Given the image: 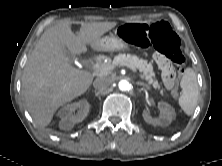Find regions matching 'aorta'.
Instances as JSON below:
<instances>
[{
    "instance_id": "1",
    "label": "aorta",
    "mask_w": 222,
    "mask_h": 166,
    "mask_svg": "<svg viewBox=\"0 0 222 166\" xmlns=\"http://www.w3.org/2000/svg\"><path fill=\"white\" fill-rule=\"evenodd\" d=\"M118 87L121 91H127L130 89L131 85L130 83L127 81V80H121L119 83H118Z\"/></svg>"
}]
</instances>
